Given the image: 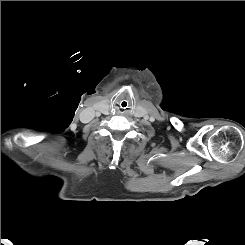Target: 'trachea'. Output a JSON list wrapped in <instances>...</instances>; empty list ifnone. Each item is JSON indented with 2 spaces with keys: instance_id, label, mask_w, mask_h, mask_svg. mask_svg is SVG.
Instances as JSON below:
<instances>
[{
  "instance_id": "1",
  "label": "trachea",
  "mask_w": 245,
  "mask_h": 245,
  "mask_svg": "<svg viewBox=\"0 0 245 245\" xmlns=\"http://www.w3.org/2000/svg\"><path fill=\"white\" fill-rule=\"evenodd\" d=\"M119 107L122 109V110H125L129 107V102L127 100H122L120 103H119Z\"/></svg>"
}]
</instances>
